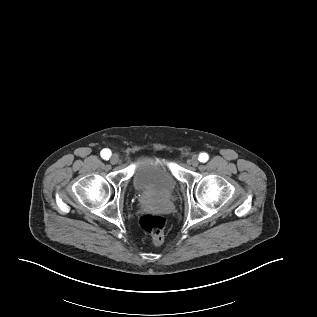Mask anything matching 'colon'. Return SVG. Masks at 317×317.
I'll return each mask as SVG.
<instances>
[{"instance_id":"colon-1","label":"colon","mask_w":317,"mask_h":317,"mask_svg":"<svg viewBox=\"0 0 317 317\" xmlns=\"http://www.w3.org/2000/svg\"><path fill=\"white\" fill-rule=\"evenodd\" d=\"M141 229L151 236L154 245H160L164 239L166 220L163 216L145 214L140 218Z\"/></svg>"}]
</instances>
